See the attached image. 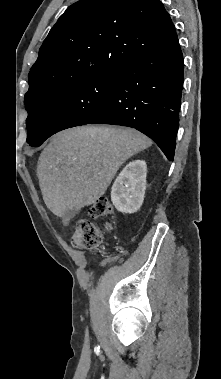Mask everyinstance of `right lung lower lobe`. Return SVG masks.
<instances>
[{"label": "right lung lower lobe", "mask_w": 221, "mask_h": 379, "mask_svg": "<svg viewBox=\"0 0 221 379\" xmlns=\"http://www.w3.org/2000/svg\"><path fill=\"white\" fill-rule=\"evenodd\" d=\"M178 38L118 70L109 103L87 124L135 128L173 161L183 86Z\"/></svg>", "instance_id": "obj_1"}]
</instances>
